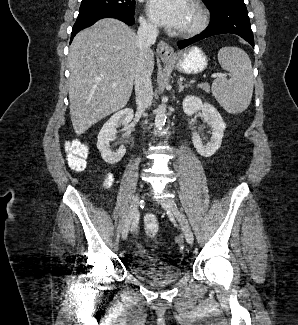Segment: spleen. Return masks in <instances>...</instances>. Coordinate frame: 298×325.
<instances>
[{
  "instance_id": "3e777b00",
  "label": "spleen",
  "mask_w": 298,
  "mask_h": 325,
  "mask_svg": "<svg viewBox=\"0 0 298 325\" xmlns=\"http://www.w3.org/2000/svg\"><path fill=\"white\" fill-rule=\"evenodd\" d=\"M218 60L224 70H229L231 78H215L211 86L212 94L227 112H243L248 108L253 94L252 62L247 52L238 46L220 48Z\"/></svg>"
}]
</instances>
